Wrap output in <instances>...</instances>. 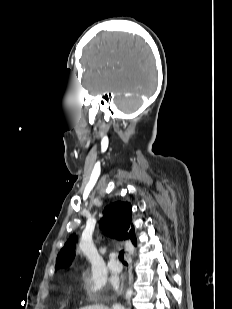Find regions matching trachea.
Masks as SVG:
<instances>
[{
    "label": "trachea",
    "mask_w": 232,
    "mask_h": 309,
    "mask_svg": "<svg viewBox=\"0 0 232 309\" xmlns=\"http://www.w3.org/2000/svg\"><path fill=\"white\" fill-rule=\"evenodd\" d=\"M119 260L122 262V263H127L125 260H124V251H120L119 252Z\"/></svg>",
    "instance_id": "trachea-1"
}]
</instances>
